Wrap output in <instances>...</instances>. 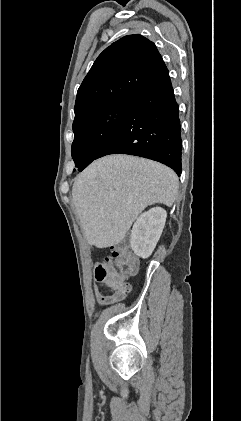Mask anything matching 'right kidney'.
<instances>
[{
  "label": "right kidney",
  "mask_w": 241,
  "mask_h": 421,
  "mask_svg": "<svg viewBox=\"0 0 241 421\" xmlns=\"http://www.w3.org/2000/svg\"><path fill=\"white\" fill-rule=\"evenodd\" d=\"M167 213L161 207H154L142 213L131 230L130 245L134 253L148 258L162 234Z\"/></svg>",
  "instance_id": "1"
}]
</instances>
